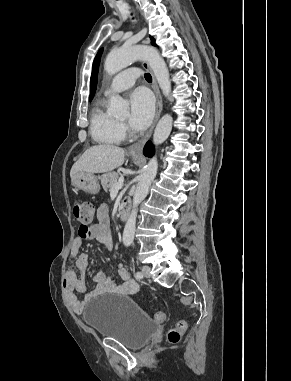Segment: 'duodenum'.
<instances>
[{"label": "duodenum", "instance_id": "obj_1", "mask_svg": "<svg viewBox=\"0 0 291 381\" xmlns=\"http://www.w3.org/2000/svg\"><path fill=\"white\" fill-rule=\"evenodd\" d=\"M130 202L128 200H123L119 208V215L121 220L126 221L129 217Z\"/></svg>", "mask_w": 291, "mask_h": 381}]
</instances>
